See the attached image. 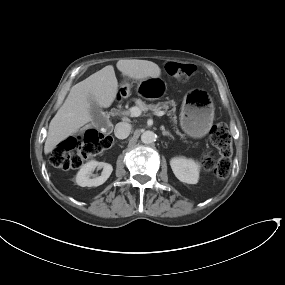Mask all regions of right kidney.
I'll return each mask as SVG.
<instances>
[{
    "instance_id": "1",
    "label": "right kidney",
    "mask_w": 285,
    "mask_h": 285,
    "mask_svg": "<svg viewBox=\"0 0 285 285\" xmlns=\"http://www.w3.org/2000/svg\"><path fill=\"white\" fill-rule=\"evenodd\" d=\"M102 168L100 176H95L93 171ZM113 167L111 164L92 160L84 164L76 176V183L82 187H92L102 185L111 175Z\"/></svg>"
}]
</instances>
